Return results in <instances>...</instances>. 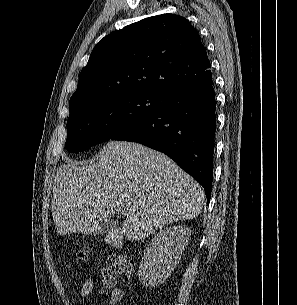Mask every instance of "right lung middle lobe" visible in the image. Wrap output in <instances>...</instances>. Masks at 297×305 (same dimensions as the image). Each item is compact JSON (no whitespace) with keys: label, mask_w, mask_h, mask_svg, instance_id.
Segmentation results:
<instances>
[{"label":"right lung middle lobe","mask_w":297,"mask_h":305,"mask_svg":"<svg viewBox=\"0 0 297 305\" xmlns=\"http://www.w3.org/2000/svg\"><path fill=\"white\" fill-rule=\"evenodd\" d=\"M164 96L151 92H129L105 97L70 112L66 148L71 153L111 139L151 114Z\"/></svg>","instance_id":"obj_1"}]
</instances>
